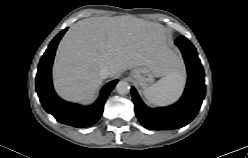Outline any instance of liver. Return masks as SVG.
I'll return each mask as SVG.
<instances>
[{"label":"liver","mask_w":248,"mask_h":158,"mask_svg":"<svg viewBox=\"0 0 248 158\" xmlns=\"http://www.w3.org/2000/svg\"><path fill=\"white\" fill-rule=\"evenodd\" d=\"M169 63L179 65L160 24L130 15L91 17L73 24L59 43L53 81L64 99L88 103L103 82V67L109 77L141 66L161 77Z\"/></svg>","instance_id":"6515ba94"}]
</instances>
